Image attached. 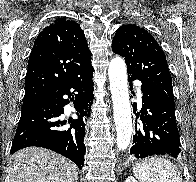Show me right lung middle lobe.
<instances>
[{
  "instance_id": "1",
  "label": "right lung middle lobe",
  "mask_w": 196,
  "mask_h": 182,
  "mask_svg": "<svg viewBox=\"0 0 196 182\" xmlns=\"http://www.w3.org/2000/svg\"><path fill=\"white\" fill-rule=\"evenodd\" d=\"M26 108H28V107H23L22 110H23V109H26Z\"/></svg>"
}]
</instances>
